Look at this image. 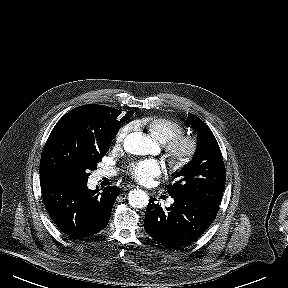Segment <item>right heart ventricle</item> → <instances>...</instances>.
<instances>
[{"mask_svg":"<svg viewBox=\"0 0 288 288\" xmlns=\"http://www.w3.org/2000/svg\"><path fill=\"white\" fill-rule=\"evenodd\" d=\"M137 125L144 127L149 135L160 143L181 134L183 125L170 117H145L137 121Z\"/></svg>","mask_w":288,"mask_h":288,"instance_id":"1","label":"right heart ventricle"}]
</instances>
